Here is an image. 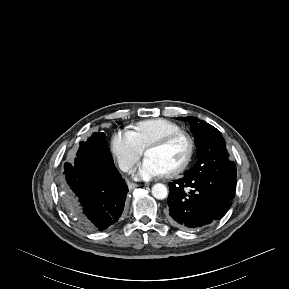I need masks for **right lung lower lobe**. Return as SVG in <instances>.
<instances>
[{
	"instance_id": "right-lung-lower-lobe-1",
	"label": "right lung lower lobe",
	"mask_w": 289,
	"mask_h": 289,
	"mask_svg": "<svg viewBox=\"0 0 289 289\" xmlns=\"http://www.w3.org/2000/svg\"><path fill=\"white\" fill-rule=\"evenodd\" d=\"M67 205L78 223L103 231L116 223L128 193L113 161L83 154L64 173Z\"/></svg>"
}]
</instances>
